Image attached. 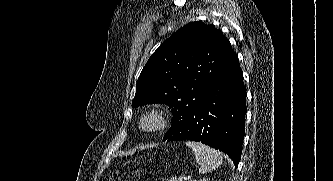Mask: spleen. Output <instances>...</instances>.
<instances>
[{"mask_svg":"<svg viewBox=\"0 0 333 181\" xmlns=\"http://www.w3.org/2000/svg\"><path fill=\"white\" fill-rule=\"evenodd\" d=\"M186 145L192 149L196 161L200 164L201 174L211 172L223 162L222 154L209 146L193 141H187Z\"/></svg>","mask_w":333,"mask_h":181,"instance_id":"1","label":"spleen"}]
</instances>
